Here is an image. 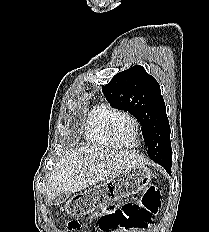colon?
Masks as SVG:
<instances>
[{
  "instance_id": "1",
  "label": "colon",
  "mask_w": 209,
  "mask_h": 232,
  "mask_svg": "<svg viewBox=\"0 0 209 232\" xmlns=\"http://www.w3.org/2000/svg\"><path fill=\"white\" fill-rule=\"evenodd\" d=\"M160 209V192L151 185L144 191L139 203L126 202L118 206L109 207L102 212L94 213L101 229L115 227L151 226L150 217L156 215ZM78 222L69 223L70 229H77Z\"/></svg>"
}]
</instances>
